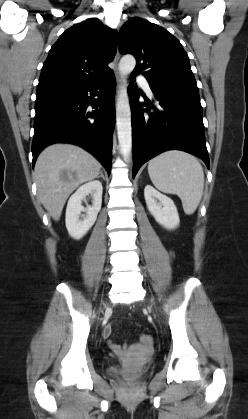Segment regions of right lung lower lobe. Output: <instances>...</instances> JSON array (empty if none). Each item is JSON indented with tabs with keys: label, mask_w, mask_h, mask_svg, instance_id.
<instances>
[{
	"label": "right lung lower lobe",
	"mask_w": 248,
	"mask_h": 419,
	"mask_svg": "<svg viewBox=\"0 0 248 419\" xmlns=\"http://www.w3.org/2000/svg\"><path fill=\"white\" fill-rule=\"evenodd\" d=\"M115 86V75L110 70L83 85L37 93L33 165L46 146L65 142L88 150L110 173Z\"/></svg>",
	"instance_id": "obj_1"
}]
</instances>
